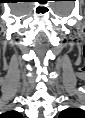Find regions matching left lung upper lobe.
<instances>
[{
    "mask_svg": "<svg viewBox=\"0 0 85 118\" xmlns=\"http://www.w3.org/2000/svg\"><path fill=\"white\" fill-rule=\"evenodd\" d=\"M75 111H76V109H66L61 112V116L73 114Z\"/></svg>",
    "mask_w": 85,
    "mask_h": 118,
    "instance_id": "1",
    "label": "left lung upper lobe"
}]
</instances>
